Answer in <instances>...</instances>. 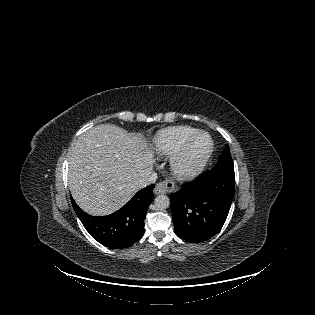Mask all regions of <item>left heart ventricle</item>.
<instances>
[{"instance_id":"obj_1","label":"left heart ventricle","mask_w":315,"mask_h":315,"mask_svg":"<svg viewBox=\"0 0 315 315\" xmlns=\"http://www.w3.org/2000/svg\"><path fill=\"white\" fill-rule=\"evenodd\" d=\"M208 140L204 136L198 137L195 142L193 143L191 149V158L196 159L198 158L207 148Z\"/></svg>"}]
</instances>
